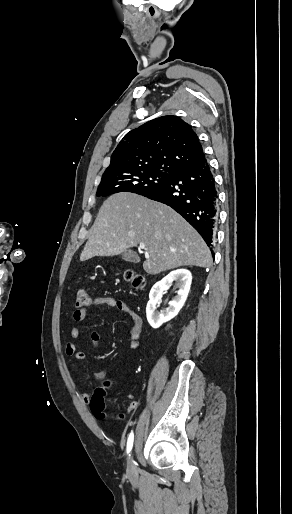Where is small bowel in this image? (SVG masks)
<instances>
[{
  "label": "small bowel",
  "instance_id": "c3829d8e",
  "mask_svg": "<svg viewBox=\"0 0 292 514\" xmlns=\"http://www.w3.org/2000/svg\"><path fill=\"white\" fill-rule=\"evenodd\" d=\"M107 306L113 308L119 312L125 313L132 318V325L129 329L130 335V346L132 348H138L140 346V333L142 328V319L141 317L123 300L117 299L111 296H96L92 298L87 307L82 309H77L73 312V320L77 323L83 322L86 320L88 316V311L91 308ZM71 340L67 342L65 351L66 354L72 356L75 362H82L85 359V354L81 351H78L77 339L80 336V330L77 326H73L70 331ZM91 342L94 347L99 346L100 337L97 332H93L91 334ZM105 376V372H98L93 374V378L95 380L102 379ZM73 383L78 385L81 383L78 377H73ZM126 397L130 396L129 392L125 393ZM89 394L87 392H82L80 394V399L87 403L89 401ZM130 404L132 406H136L138 401L134 395L129 397Z\"/></svg>",
  "mask_w": 292,
  "mask_h": 514
}]
</instances>
